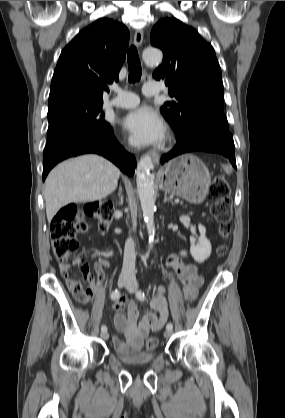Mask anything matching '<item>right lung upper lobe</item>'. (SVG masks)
Instances as JSON below:
<instances>
[{
	"mask_svg": "<svg viewBox=\"0 0 285 418\" xmlns=\"http://www.w3.org/2000/svg\"><path fill=\"white\" fill-rule=\"evenodd\" d=\"M129 31L122 23L100 18L83 29L61 52L48 105L62 101H102L107 84L118 81Z\"/></svg>",
	"mask_w": 285,
	"mask_h": 418,
	"instance_id": "1",
	"label": "right lung upper lobe"
}]
</instances>
